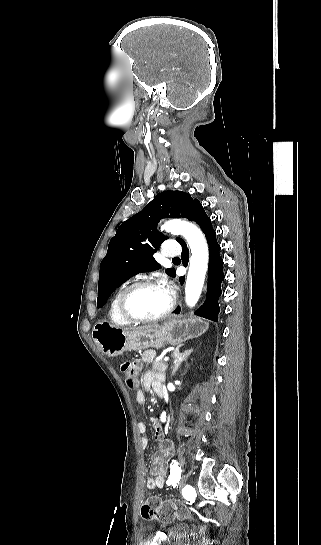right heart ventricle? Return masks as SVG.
I'll return each mask as SVG.
<instances>
[{"mask_svg": "<svg viewBox=\"0 0 321 545\" xmlns=\"http://www.w3.org/2000/svg\"><path fill=\"white\" fill-rule=\"evenodd\" d=\"M125 288H126V285L120 288L111 298L108 305V310H107L108 320L110 324L116 328H124L128 326V324L121 319L117 309L118 297L120 293L122 292V290Z\"/></svg>", "mask_w": 321, "mask_h": 545, "instance_id": "1", "label": "right heart ventricle"}]
</instances>
